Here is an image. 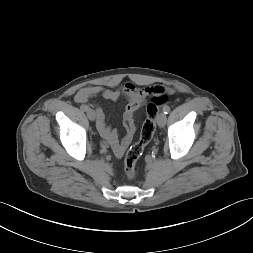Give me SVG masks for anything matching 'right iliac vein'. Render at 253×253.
I'll list each match as a JSON object with an SVG mask.
<instances>
[{"mask_svg":"<svg viewBox=\"0 0 253 253\" xmlns=\"http://www.w3.org/2000/svg\"><path fill=\"white\" fill-rule=\"evenodd\" d=\"M87 116H88V118H89L91 121H94L95 118H96V113H95L94 110L88 109V110H87Z\"/></svg>","mask_w":253,"mask_h":253,"instance_id":"obj_1","label":"right iliac vein"}]
</instances>
